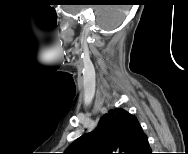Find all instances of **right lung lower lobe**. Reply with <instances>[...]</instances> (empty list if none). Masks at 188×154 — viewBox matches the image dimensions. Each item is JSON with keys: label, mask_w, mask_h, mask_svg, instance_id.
Instances as JSON below:
<instances>
[{"label": "right lung lower lobe", "mask_w": 188, "mask_h": 154, "mask_svg": "<svg viewBox=\"0 0 188 154\" xmlns=\"http://www.w3.org/2000/svg\"><path fill=\"white\" fill-rule=\"evenodd\" d=\"M145 154H151V149H149Z\"/></svg>", "instance_id": "1"}]
</instances>
